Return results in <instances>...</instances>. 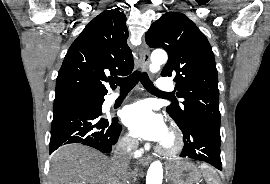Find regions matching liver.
Masks as SVG:
<instances>
[{
	"label": "liver",
	"instance_id": "1",
	"mask_svg": "<svg viewBox=\"0 0 270 184\" xmlns=\"http://www.w3.org/2000/svg\"><path fill=\"white\" fill-rule=\"evenodd\" d=\"M121 176L111 160L80 144L65 145L52 156L50 184H120Z\"/></svg>",
	"mask_w": 270,
	"mask_h": 184
}]
</instances>
